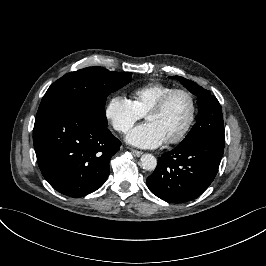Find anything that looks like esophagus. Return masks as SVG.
<instances>
[{
  "label": "esophagus",
  "mask_w": 266,
  "mask_h": 266,
  "mask_svg": "<svg viewBox=\"0 0 266 266\" xmlns=\"http://www.w3.org/2000/svg\"><path fill=\"white\" fill-rule=\"evenodd\" d=\"M131 150V152L134 154V155H136L137 157H140L142 154H143V152H141V151H139V150H135V149H130Z\"/></svg>",
  "instance_id": "obj_1"
}]
</instances>
